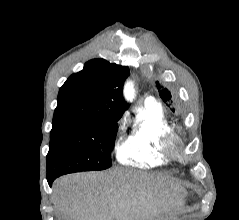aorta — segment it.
<instances>
[{
	"instance_id": "aorta-1",
	"label": "aorta",
	"mask_w": 239,
	"mask_h": 220,
	"mask_svg": "<svg viewBox=\"0 0 239 220\" xmlns=\"http://www.w3.org/2000/svg\"><path fill=\"white\" fill-rule=\"evenodd\" d=\"M124 96L127 101H133L135 98V90L130 81H127L124 86Z\"/></svg>"
}]
</instances>
